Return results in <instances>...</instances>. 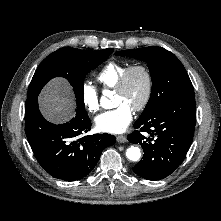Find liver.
<instances>
[{
	"label": "liver",
	"mask_w": 221,
	"mask_h": 221,
	"mask_svg": "<svg viewBox=\"0 0 221 221\" xmlns=\"http://www.w3.org/2000/svg\"><path fill=\"white\" fill-rule=\"evenodd\" d=\"M43 116L54 123L68 121L74 115V100L67 82L57 78L48 83L39 96Z\"/></svg>",
	"instance_id": "6515ba94"
}]
</instances>
